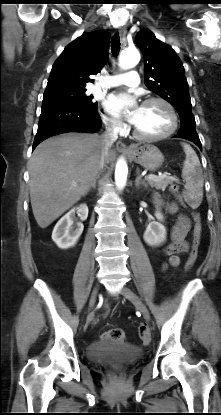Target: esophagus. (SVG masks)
<instances>
[{"label":"esophagus","instance_id":"obj_1","mask_svg":"<svg viewBox=\"0 0 221 415\" xmlns=\"http://www.w3.org/2000/svg\"><path fill=\"white\" fill-rule=\"evenodd\" d=\"M119 35L123 39L126 36L127 30L126 27L119 28ZM116 149L120 151H130V148H128L122 141H118L116 143Z\"/></svg>","mask_w":221,"mask_h":415}]
</instances>
